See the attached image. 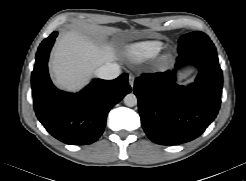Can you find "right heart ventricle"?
Returning <instances> with one entry per match:
<instances>
[{
	"instance_id": "e07e8e85",
	"label": "right heart ventricle",
	"mask_w": 246,
	"mask_h": 181,
	"mask_svg": "<svg viewBox=\"0 0 246 181\" xmlns=\"http://www.w3.org/2000/svg\"><path fill=\"white\" fill-rule=\"evenodd\" d=\"M162 49L160 41H143L129 47L127 54L129 58L136 62H141L154 58Z\"/></svg>"
}]
</instances>
